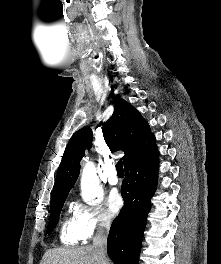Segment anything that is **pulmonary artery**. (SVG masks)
I'll return each mask as SVG.
<instances>
[{
	"label": "pulmonary artery",
	"instance_id": "obj_1",
	"mask_svg": "<svg viewBox=\"0 0 221 264\" xmlns=\"http://www.w3.org/2000/svg\"><path fill=\"white\" fill-rule=\"evenodd\" d=\"M108 182L111 185H116L119 182V178H118V175H117V172L114 166L110 168V171L108 174Z\"/></svg>",
	"mask_w": 221,
	"mask_h": 264
}]
</instances>
